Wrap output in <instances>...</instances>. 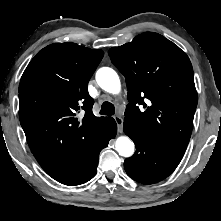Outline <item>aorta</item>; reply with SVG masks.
Returning a JSON list of instances; mask_svg holds the SVG:
<instances>
[{
    "label": "aorta",
    "mask_w": 221,
    "mask_h": 221,
    "mask_svg": "<svg viewBox=\"0 0 221 221\" xmlns=\"http://www.w3.org/2000/svg\"><path fill=\"white\" fill-rule=\"evenodd\" d=\"M98 85L105 91L117 94L120 91L121 84L118 74L109 67L100 68L96 73ZM116 151L124 156L130 157L134 153V143L126 136L118 137L115 143Z\"/></svg>",
    "instance_id": "1"
}]
</instances>
